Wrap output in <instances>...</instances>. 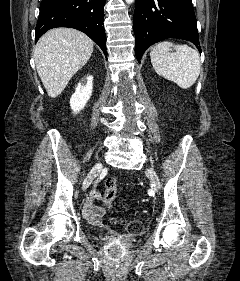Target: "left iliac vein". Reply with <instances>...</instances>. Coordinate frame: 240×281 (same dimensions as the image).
<instances>
[{"label":"left iliac vein","mask_w":240,"mask_h":281,"mask_svg":"<svg viewBox=\"0 0 240 281\" xmlns=\"http://www.w3.org/2000/svg\"><path fill=\"white\" fill-rule=\"evenodd\" d=\"M146 175L149 177V179L151 180L152 182V185L153 187L156 189V190H160L161 188V183L159 181V178L156 174V172L153 170V169H147L146 171Z\"/></svg>","instance_id":"obj_1"}]
</instances>
